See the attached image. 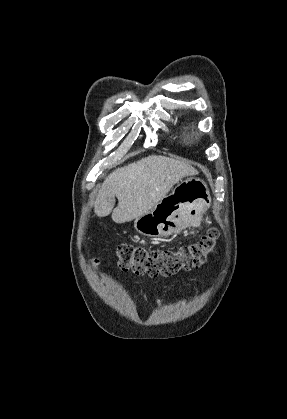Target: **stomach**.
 I'll use <instances>...</instances> for the list:
<instances>
[{"mask_svg":"<svg viewBox=\"0 0 287 419\" xmlns=\"http://www.w3.org/2000/svg\"><path fill=\"white\" fill-rule=\"evenodd\" d=\"M211 202L207 184L198 177L176 185L149 212L134 219V227L148 237H169L202 217Z\"/></svg>","mask_w":287,"mask_h":419,"instance_id":"obj_1","label":"stomach"}]
</instances>
